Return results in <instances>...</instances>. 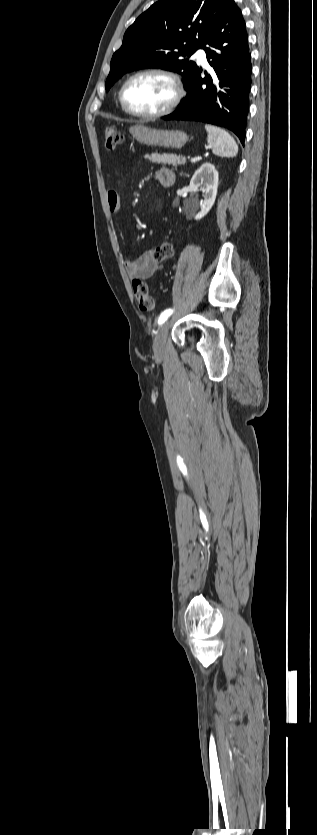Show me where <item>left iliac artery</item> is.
<instances>
[{
    "instance_id": "1",
    "label": "left iliac artery",
    "mask_w": 317,
    "mask_h": 835,
    "mask_svg": "<svg viewBox=\"0 0 317 835\" xmlns=\"http://www.w3.org/2000/svg\"><path fill=\"white\" fill-rule=\"evenodd\" d=\"M172 313H173V310H172V309H166V310H164V311L160 314V316H159V319H158V324H159V325L163 324V323H164V322L168 319V317H169Z\"/></svg>"
}]
</instances>
